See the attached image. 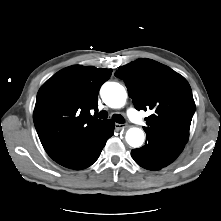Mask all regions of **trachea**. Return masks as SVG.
<instances>
[{
	"mask_svg": "<svg viewBox=\"0 0 221 221\" xmlns=\"http://www.w3.org/2000/svg\"><path fill=\"white\" fill-rule=\"evenodd\" d=\"M108 117V113L105 110H102L98 113V118L100 119H106ZM112 119L116 122V123H124V118L121 114H114L112 116Z\"/></svg>",
	"mask_w": 221,
	"mask_h": 221,
	"instance_id": "3493384b",
	"label": "trachea"
}]
</instances>
